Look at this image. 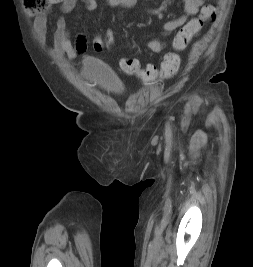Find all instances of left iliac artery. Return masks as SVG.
Wrapping results in <instances>:
<instances>
[{"mask_svg":"<svg viewBox=\"0 0 253 267\" xmlns=\"http://www.w3.org/2000/svg\"><path fill=\"white\" fill-rule=\"evenodd\" d=\"M166 135L169 137L171 135V128H170V124L167 123L166 125Z\"/></svg>","mask_w":253,"mask_h":267,"instance_id":"44dca946","label":"left iliac artery"}]
</instances>
